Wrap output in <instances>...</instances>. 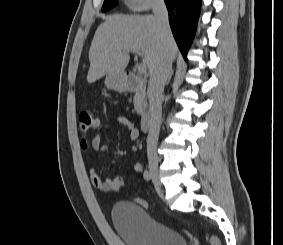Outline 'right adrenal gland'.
Listing matches in <instances>:
<instances>
[{"instance_id": "obj_1", "label": "right adrenal gland", "mask_w": 283, "mask_h": 245, "mask_svg": "<svg viewBox=\"0 0 283 245\" xmlns=\"http://www.w3.org/2000/svg\"><path fill=\"white\" fill-rule=\"evenodd\" d=\"M172 75H173V71H171L169 77H168V81H167V84L170 82L171 78H172Z\"/></svg>"}]
</instances>
